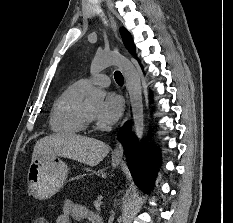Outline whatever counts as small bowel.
<instances>
[{"label": "small bowel", "instance_id": "obj_1", "mask_svg": "<svg viewBox=\"0 0 233 223\" xmlns=\"http://www.w3.org/2000/svg\"><path fill=\"white\" fill-rule=\"evenodd\" d=\"M72 220L101 223L100 218L94 212L83 205L76 204L67 199L63 201L62 212L58 215L56 223H72Z\"/></svg>", "mask_w": 233, "mask_h": 223}]
</instances>
